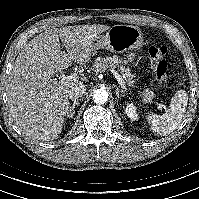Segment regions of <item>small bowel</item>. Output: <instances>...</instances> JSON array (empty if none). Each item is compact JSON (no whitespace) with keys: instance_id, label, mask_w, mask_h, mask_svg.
Returning a JSON list of instances; mask_svg holds the SVG:
<instances>
[{"instance_id":"c3829d8e","label":"small bowel","mask_w":199,"mask_h":199,"mask_svg":"<svg viewBox=\"0 0 199 199\" xmlns=\"http://www.w3.org/2000/svg\"><path fill=\"white\" fill-rule=\"evenodd\" d=\"M127 61L133 65H138V62L136 61V56L134 53L127 54Z\"/></svg>"}]
</instances>
